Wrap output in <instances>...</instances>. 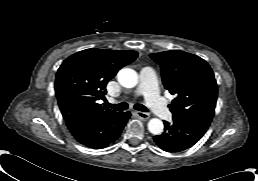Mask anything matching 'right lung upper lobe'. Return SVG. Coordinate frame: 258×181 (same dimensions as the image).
Masks as SVG:
<instances>
[{
  "instance_id": "obj_1",
  "label": "right lung upper lobe",
  "mask_w": 258,
  "mask_h": 181,
  "mask_svg": "<svg viewBox=\"0 0 258 181\" xmlns=\"http://www.w3.org/2000/svg\"><path fill=\"white\" fill-rule=\"evenodd\" d=\"M137 56L136 51L130 50L86 49L68 57L55 79V93L65 121L117 113L98 100L106 94L108 81Z\"/></svg>"
}]
</instances>
